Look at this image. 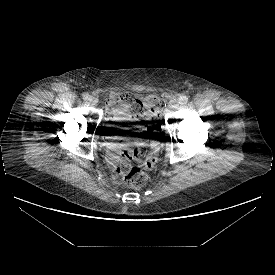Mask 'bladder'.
Instances as JSON below:
<instances>
[{
  "mask_svg": "<svg viewBox=\"0 0 275 275\" xmlns=\"http://www.w3.org/2000/svg\"><path fill=\"white\" fill-rule=\"evenodd\" d=\"M122 117L120 118H114L112 115H108L105 117V125L108 127H114L117 126V124L119 123V121H121Z\"/></svg>",
  "mask_w": 275,
  "mask_h": 275,
  "instance_id": "31cf9c89",
  "label": "bladder"
}]
</instances>
